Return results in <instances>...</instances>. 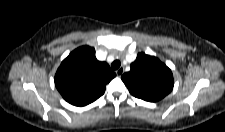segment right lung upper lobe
<instances>
[{"mask_svg": "<svg viewBox=\"0 0 225 132\" xmlns=\"http://www.w3.org/2000/svg\"><path fill=\"white\" fill-rule=\"evenodd\" d=\"M116 74L106 62H99L93 47L82 46L71 52L55 75V86L74 106H86L102 96Z\"/></svg>", "mask_w": 225, "mask_h": 132, "instance_id": "obj_1", "label": "right lung upper lobe"}]
</instances>
